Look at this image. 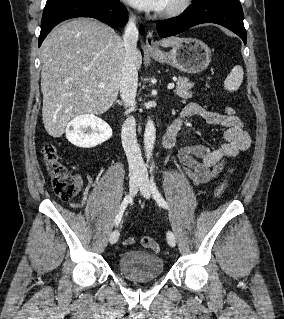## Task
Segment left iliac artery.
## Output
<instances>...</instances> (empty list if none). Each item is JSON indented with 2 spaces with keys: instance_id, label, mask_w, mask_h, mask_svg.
<instances>
[{
  "instance_id": "44dca946",
  "label": "left iliac artery",
  "mask_w": 284,
  "mask_h": 319,
  "mask_svg": "<svg viewBox=\"0 0 284 319\" xmlns=\"http://www.w3.org/2000/svg\"><path fill=\"white\" fill-rule=\"evenodd\" d=\"M153 168H154V163H152L151 166V179H150V188H151V193L153 195V198L156 200L157 204L165 209L168 208L167 202L164 200V198L161 196L158 188L156 187V183L154 180V175H153Z\"/></svg>"
}]
</instances>
